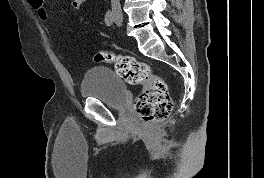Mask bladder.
Masks as SVG:
<instances>
[{"mask_svg": "<svg viewBox=\"0 0 264 178\" xmlns=\"http://www.w3.org/2000/svg\"><path fill=\"white\" fill-rule=\"evenodd\" d=\"M80 91L83 98L97 99L110 108H123L128 91L122 78L108 67H93L83 75Z\"/></svg>", "mask_w": 264, "mask_h": 178, "instance_id": "1", "label": "bladder"}]
</instances>
